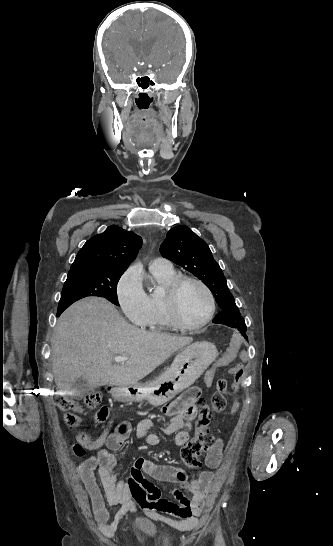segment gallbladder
<instances>
[{"label":"gallbladder","mask_w":333,"mask_h":546,"mask_svg":"<svg viewBox=\"0 0 333 546\" xmlns=\"http://www.w3.org/2000/svg\"><path fill=\"white\" fill-rule=\"evenodd\" d=\"M74 389L76 392V396L79 399L82 398L87 392L94 390V388L90 386V384L86 381L84 377H80L76 380V382L74 383Z\"/></svg>","instance_id":"bac80fb5"}]
</instances>
